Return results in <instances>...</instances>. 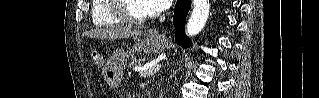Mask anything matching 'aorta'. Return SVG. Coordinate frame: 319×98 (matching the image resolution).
<instances>
[{
	"label": "aorta",
	"mask_w": 319,
	"mask_h": 98,
	"mask_svg": "<svg viewBox=\"0 0 319 98\" xmlns=\"http://www.w3.org/2000/svg\"><path fill=\"white\" fill-rule=\"evenodd\" d=\"M209 10V0H193V11L186 26L188 36H195L204 28Z\"/></svg>",
	"instance_id": "obj_1"
}]
</instances>
